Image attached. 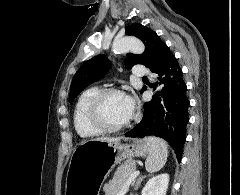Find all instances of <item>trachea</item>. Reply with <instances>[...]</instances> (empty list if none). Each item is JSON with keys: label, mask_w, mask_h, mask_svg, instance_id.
<instances>
[{"label": "trachea", "mask_w": 240, "mask_h": 195, "mask_svg": "<svg viewBox=\"0 0 240 195\" xmlns=\"http://www.w3.org/2000/svg\"><path fill=\"white\" fill-rule=\"evenodd\" d=\"M143 79H146L147 77H142Z\"/></svg>", "instance_id": "trachea-1"}]
</instances>
